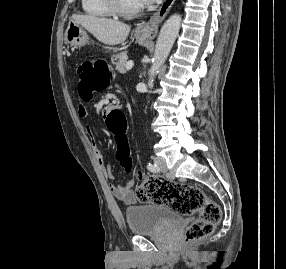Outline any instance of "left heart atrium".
<instances>
[{
    "label": "left heart atrium",
    "instance_id": "39dd6f15",
    "mask_svg": "<svg viewBox=\"0 0 286 269\" xmlns=\"http://www.w3.org/2000/svg\"><path fill=\"white\" fill-rule=\"evenodd\" d=\"M142 6H148V5H152L154 3H157L161 0H139Z\"/></svg>",
    "mask_w": 286,
    "mask_h": 269
}]
</instances>
